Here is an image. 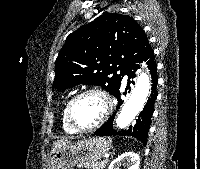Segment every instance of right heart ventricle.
<instances>
[{"mask_svg": "<svg viewBox=\"0 0 200 169\" xmlns=\"http://www.w3.org/2000/svg\"><path fill=\"white\" fill-rule=\"evenodd\" d=\"M69 101L70 98H67L63 104L61 120H62L63 130L67 133L73 134L76 133V131L72 128L67 118V105Z\"/></svg>", "mask_w": 200, "mask_h": 169, "instance_id": "right-heart-ventricle-1", "label": "right heart ventricle"}]
</instances>
